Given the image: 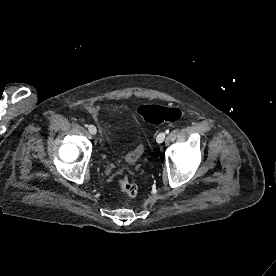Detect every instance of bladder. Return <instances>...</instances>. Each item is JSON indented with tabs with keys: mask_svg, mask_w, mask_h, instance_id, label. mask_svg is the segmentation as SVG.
Here are the masks:
<instances>
[{
	"mask_svg": "<svg viewBox=\"0 0 276 276\" xmlns=\"http://www.w3.org/2000/svg\"><path fill=\"white\" fill-rule=\"evenodd\" d=\"M136 150L130 151L125 155V160H131L135 158L137 155L135 154Z\"/></svg>",
	"mask_w": 276,
	"mask_h": 276,
	"instance_id": "obj_1",
	"label": "bladder"
}]
</instances>
